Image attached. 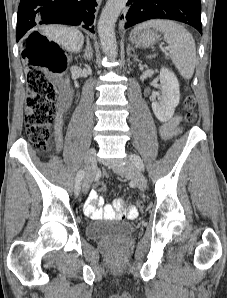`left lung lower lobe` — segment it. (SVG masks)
<instances>
[{
    "instance_id": "0a47b994",
    "label": "left lung lower lobe",
    "mask_w": 227,
    "mask_h": 298,
    "mask_svg": "<svg viewBox=\"0 0 227 298\" xmlns=\"http://www.w3.org/2000/svg\"><path fill=\"white\" fill-rule=\"evenodd\" d=\"M128 10L121 16L130 27L150 19L184 22L202 34L200 0H128Z\"/></svg>"
}]
</instances>
